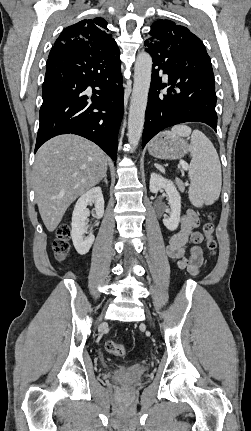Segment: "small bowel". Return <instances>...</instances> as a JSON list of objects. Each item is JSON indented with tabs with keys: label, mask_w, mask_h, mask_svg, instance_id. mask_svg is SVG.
<instances>
[{
	"label": "small bowel",
	"mask_w": 251,
	"mask_h": 431,
	"mask_svg": "<svg viewBox=\"0 0 251 431\" xmlns=\"http://www.w3.org/2000/svg\"><path fill=\"white\" fill-rule=\"evenodd\" d=\"M199 225V217L193 210H187L180 220V229L174 233L167 245V254L177 268L197 275L203 264V251L200 243L203 236L195 229ZM191 244L187 252L188 245Z\"/></svg>",
	"instance_id": "c3829d8e"
}]
</instances>
